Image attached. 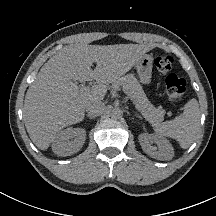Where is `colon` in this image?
I'll return each instance as SVG.
<instances>
[{
	"mask_svg": "<svg viewBox=\"0 0 216 216\" xmlns=\"http://www.w3.org/2000/svg\"><path fill=\"white\" fill-rule=\"evenodd\" d=\"M154 64L158 72L165 77L167 94L171 101L179 102L185 95L186 82L182 77L172 73L174 60L169 55H158Z\"/></svg>",
	"mask_w": 216,
	"mask_h": 216,
	"instance_id": "obj_1",
	"label": "colon"
}]
</instances>
